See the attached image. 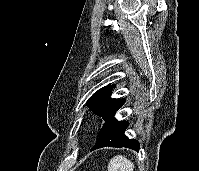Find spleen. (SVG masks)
<instances>
[{
  "mask_svg": "<svg viewBox=\"0 0 199 171\" xmlns=\"http://www.w3.org/2000/svg\"><path fill=\"white\" fill-rule=\"evenodd\" d=\"M108 171H134V164L126 157L118 155L111 158Z\"/></svg>",
  "mask_w": 199,
  "mask_h": 171,
  "instance_id": "1",
  "label": "spleen"
}]
</instances>
